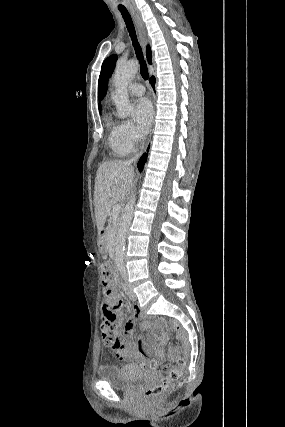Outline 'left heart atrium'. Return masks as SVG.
I'll return each instance as SVG.
<instances>
[{
  "mask_svg": "<svg viewBox=\"0 0 285 427\" xmlns=\"http://www.w3.org/2000/svg\"><path fill=\"white\" fill-rule=\"evenodd\" d=\"M153 107L146 98L137 100L134 104L133 118L141 133H146L153 120Z\"/></svg>",
  "mask_w": 285,
  "mask_h": 427,
  "instance_id": "left-heart-atrium-1",
  "label": "left heart atrium"
}]
</instances>
